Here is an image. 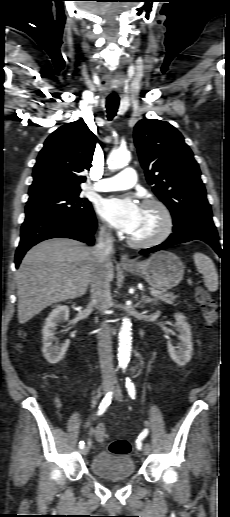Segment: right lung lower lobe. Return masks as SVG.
I'll use <instances>...</instances> for the list:
<instances>
[{
	"label": "right lung lower lobe",
	"mask_w": 230,
	"mask_h": 517,
	"mask_svg": "<svg viewBox=\"0 0 230 517\" xmlns=\"http://www.w3.org/2000/svg\"><path fill=\"white\" fill-rule=\"evenodd\" d=\"M96 227L94 212L75 216L57 213L28 216L21 227V240L15 255L16 267L26 251L46 239L65 237L93 244Z\"/></svg>",
	"instance_id": "1"
}]
</instances>
